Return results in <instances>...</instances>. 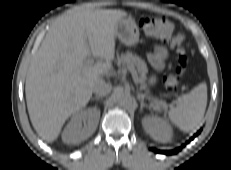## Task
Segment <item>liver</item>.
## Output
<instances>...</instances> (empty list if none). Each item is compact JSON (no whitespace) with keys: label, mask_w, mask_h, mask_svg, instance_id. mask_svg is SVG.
<instances>
[{"label":"liver","mask_w":231,"mask_h":170,"mask_svg":"<svg viewBox=\"0 0 231 170\" xmlns=\"http://www.w3.org/2000/svg\"><path fill=\"white\" fill-rule=\"evenodd\" d=\"M122 10L77 6L58 17L33 57L25 84L27 108L37 134L56 140L66 120L85 107L93 87L110 74ZM92 54L105 62L87 65Z\"/></svg>","instance_id":"6515ba94"}]
</instances>
